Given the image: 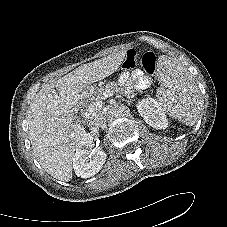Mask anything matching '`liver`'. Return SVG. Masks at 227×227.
I'll use <instances>...</instances> for the list:
<instances>
[{
    "label": "liver",
    "mask_w": 227,
    "mask_h": 227,
    "mask_svg": "<svg viewBox=\"0 0 227 227\" xmlns=\"http://www.w3.org/2000/svg\"><path fill=\"white\" fill-rule=\"evenodd\" d=\"M127 51L109 54L83 64L62 78L44 84L31 103L28 115L29 137L42 168L52 177L69 182L72 161L85 128L73 123L83 91L92 83L114 73Z\"/></svg>",
    "instance_id": "liver-1"
}]
</instances>
